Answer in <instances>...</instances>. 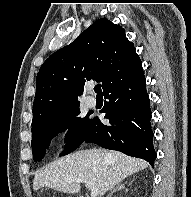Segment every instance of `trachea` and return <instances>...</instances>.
I'll list each match as a JSON object with an SVG mask.
<instances>
[{
  "instance_id": "obj_1",
  "label": "trachea",
  "mask_w": 191,
  "mask_h": 197,
  "mask_svg": "<svg viewBox=\"0 0 191 197\" xmlns=\"http://www.w3.org/2000/svg\"><path fill=\"white\" fill-rule=\"evenodd\" d=\"M94 91H95L97 94H102L101 85H100V84H97V85L94 87Z\"/></svg>"
}]
</instances>
